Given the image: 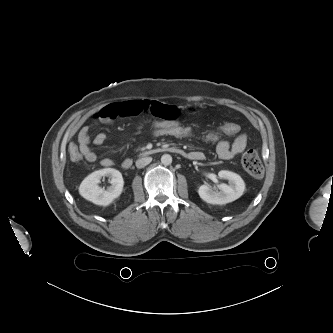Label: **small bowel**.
<instances>
[{
	"instance_id": "obj_1",
	"label": "small bowel",
	"mask_w": 333,
	"mask_h": 333,
	"mask_svg": "<svg viewBox=\"0 0 333 333\" xmlns=\"http://www.w3.org/2000/svg\"><path fill=\"white\" fill-rule=\"evenodd\" d=\"M143 113H150L158 118L157 122H177L179 121L181 111L176 106L164 104L154 100H130L124 102L111 103L93 116L95 124L110 123L119 117L138 116ZM104 133H98L93 143L97 146L104 144L106 141ZM78 147L81 155L88 162L97 160L96 153L90 148L89 128L83 126L77 135ZM247 146V137L244 134L238 135L233 141L220 140L217 144L216 151L218 156L224 160H230L241 154ZM188 156L192 159H202L201 152H190ZM101 165L109 167L113 165V160L105 157L101 160Z\"/></svg>"
}]
</instances>
